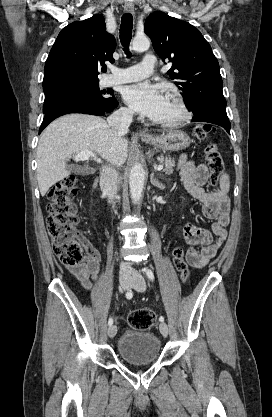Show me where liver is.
<instances>
[{
	"instance_id": "1",
	"label": "liver",
	"mask_w": 272,
	"mask_h": 417,
	"mask_svg": "<svg viewBox=\"0 0 272 417\" xmlns=\"http://www.w3.org/2000/svg\"><path fill=\"white\" fill-rule=\"evenodd\" d=\"M125 134L93 115L70 114L53 121L42 132L37 147V181L41 195L69 176L67 162L82 151L97 153L113 165H123L128 151Z\"/></svg>"
}]
</instances>
